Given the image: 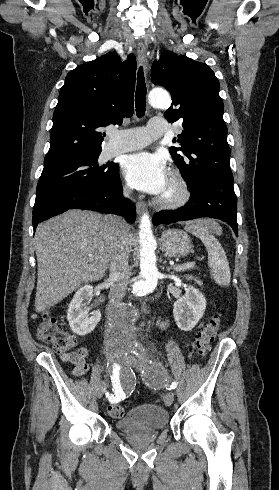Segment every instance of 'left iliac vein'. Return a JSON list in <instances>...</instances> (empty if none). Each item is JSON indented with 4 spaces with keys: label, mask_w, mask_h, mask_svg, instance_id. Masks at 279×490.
<instances>
[{
    "label": "left iliac vein",
    "mask_w": 279,
    "mask_h": 490,
    "mask_svg": "<svg viewBox=\"0 0 279 490\" xmlns=\"http://www.w3.org/2000/svg\"><path fill=\"white\" fill-rule=\"evenodd\" d=\"M143 358L144 357L141 354L136 356V359L140 360V361L143 360ZM143 363L147 364L148 367L154 366L157 369L160 368V365H157L156 363H151L147 359H144ZM165 402H166L167 406H171L173 404V402H174V393L173 392H169L165 395Z\"/></svg>",
    "instance_id": "4c4485c4"
}]
</instances>
